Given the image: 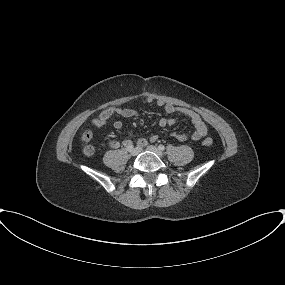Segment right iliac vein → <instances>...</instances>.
<instances>
[{
    "label": "right iliac vein",
    "mask_w": 285,
    "mask_h": 285,
    "mask_svg": "<svg viewBox=\"0 0 285 285\" xmlns=\"http://www.w3.org/2000/svg\"><path fill=\"white\" fill-rule=\"evenodd\" d=\"M140 153V148L136 147V148H133L131 151H130V155L131 156H137L138 154Z\"/></svg>",
    "instance_id": "obj_1"
}]
</instances>
